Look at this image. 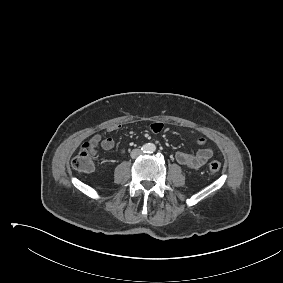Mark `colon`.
<instances>
[{"instance_id":"5ec220e1","label":"colon","mask_w":283,"mask_h":283,"mask_svg":"<svg viewBox=\"0 0 283 283\" xmlns=\"http://www.w3.org/2000/svg\"><path fill=\"white\" fill-rule=\"evenodd\" d=\"M72 168L79 172H91L94 169L93 148L91 143L86 142L71 161ZM221 168V163L217 160H212L209 163V170L213 173L218 172Z\"/></svg>"}]
</instances>
